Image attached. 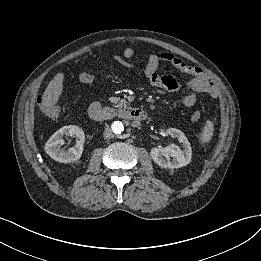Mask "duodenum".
I'll return each instance as SVG.
<instances>
[{
    "instance_id": "duodenum-1",
    "label": "duodenum",
    "mask_w": 261,
    "mask_h": 261,
    "mask_svg": "<svg viewBox=\"0 0 261 261\" xmlns=\"http://www.w3.org/2000/svg\"><path fill=\"white\" fill-rule=\"evenodd\" d=\"M89 114L97 121H104L117 115L136 123H141L146 118L144 110L133 106H124L119 111H115L113 109L103 108L98 104H93L90 108Z\"/></svg>"
}]
</instances>
